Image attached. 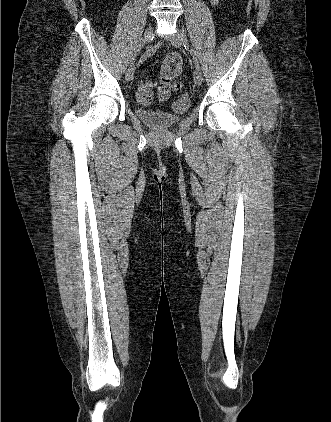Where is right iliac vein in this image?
<instances>
[{
    "instance_id": "obj_1",
    "label": "right iliac vein",
    "mask_w": 331,
    "mask_h": 422,
    "mask_svg": "<svg viewBox=\"0 0 331 422\" xmlns=\"http://www.w3.org/2000/svg\"><path fill=\"white\" fill-rule=\"evenodd\" d=\"M152 35H153V27L149 25L142 39L143 44L147 43L151 39ZM134 72H135V66L132 65L128 68L125 74V80L127 82H130L133 79Z\"/></svg>"
}]
</instances>
